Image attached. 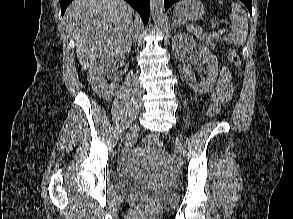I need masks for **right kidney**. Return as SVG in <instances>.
<instances>
[{
	"label": "right kidney",
	"mask_w": 293,
	"mask_h": 219,
	"mask_svg": "<svg viewBox=\"0 0 293 219\" xmlns=\"http://www.w3.org/2000/svg\"><path fill=\"white\" fill-rule=\"evenodd\" d=\"M114 64L113 58H101L91 66L87 74L88 83L94 93L105 100H111L116 94V82L109 83L105 79L106 74L111 72Z\"/></svg>",
	"instance_id": "right-kidney-1"
}]
</instances>
